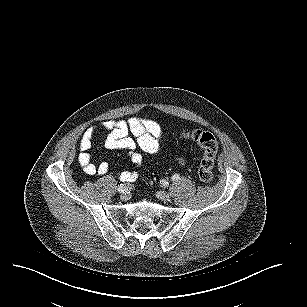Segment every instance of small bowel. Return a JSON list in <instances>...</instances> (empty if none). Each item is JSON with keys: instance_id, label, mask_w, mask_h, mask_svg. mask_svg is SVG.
<instances>
[{"instance_id": "1", "label": "small bowel", "mask_w": 307, "mask_h": 307, "mask_svg": "<svg viewBox=\"0 0 307 307\" xmlns=\"http://www.w3.org/2000/svg\"><path fill=\"white\" fill-rule=\"evenodd\" d=\"M98 130L108 132L105 146L110 150H125L136 166H141L145 156L155 155L160 148L162 130L160 125L150 119L131 117L127 120H105L87 128L79 141L78 162L87 175H105L109 170L107 162L96 164L92 161L90 150L93 137ZM130 134L133 135L130 136ZM141 149V152L138 150ZM179 163L183 160L179 159ZM137 171H120L118 178L130 183L138 179Z\"/></svg>"}]
</instances>
